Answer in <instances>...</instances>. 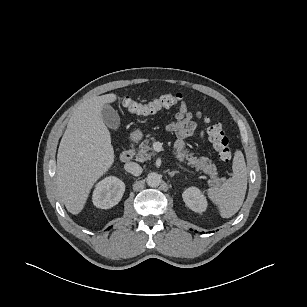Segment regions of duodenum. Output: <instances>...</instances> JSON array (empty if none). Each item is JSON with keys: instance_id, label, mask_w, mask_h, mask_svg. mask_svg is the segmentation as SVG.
Here are the masks:
<instances>
[{"instance_id": "410a0bca", "label": "duodenum", "mask_w": 307, "mask_h": 307, "mask_svg": "<svg viewBox=\"0 0 307 307\" xmlns=\"http://www.w3.org/2000/svg\"><path fill=\"white\" fill-rule=\"evenodd\" d=\"M137 137H133L131 139V147L125 151H123L121 154H120V160L124 163L126 162H129L132 160L133 156H134V145L137 141Z\"/></svg>"}]
</instances>
